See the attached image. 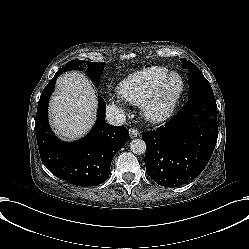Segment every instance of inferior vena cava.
I'll use <instances>...</instances> for the list:
<instances>
[{"mask_svg":"<svg viewBox=\"0 0 249 249\" xmlns=\"http://www.w3.org/2000/svg\"><path fill=\"white\" fill-rule=\"evenodd\" d=\"M106 121L113 126H121L126 122L124 110L116 104H109L106 109Z\"/></svg>","mask_w":249,"mask_h":249,"instance_id":"1","label":"inferior vena cava"}]
</instances>
